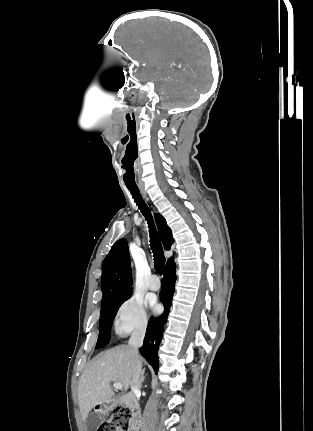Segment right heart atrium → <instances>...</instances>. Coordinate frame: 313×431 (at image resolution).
Here are the masks:
<instances>
[{"mask_svg": "<svg viewBox=\"0 0 313 431\" xmlns=\"http://www.w3.org/2000/svg\"><path fill=\"white\" fill-rule=\"evenodd\" d=\"M148 321V314L142 299L131 296L119 306L114 326L119 334L124 335L143 332L147 328Z\"/></svg>", "mask_w": 313, "mask_h": 431, "instance_id": "d8ad5b80", "label": "right heart atrium"}]
</instances>
